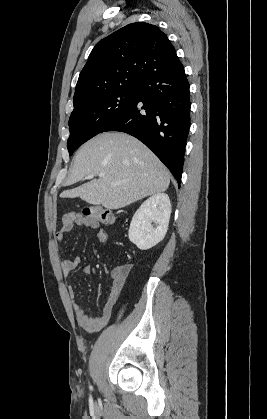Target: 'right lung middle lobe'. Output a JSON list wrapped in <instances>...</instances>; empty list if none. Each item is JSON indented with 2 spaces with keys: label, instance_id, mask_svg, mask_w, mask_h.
<instances>
[{
  "label": "right lung middle lobe",
  "instance_id": "obj_1",
  "mask_svg": "<svg viewBox=\"0 0 267 419\" xmlns=\"http://www.w3.org/2000/svg\"><path fill=\"white\" fill-rule=\"evenodd\" d=\"M138 89V86H130L109 90L75 103L69 119L70 136L67 143L69 155L120 118L135 99Z\"/></svg>",
  "mask_w": 267,
  "mask_h": 419
}]
</instances>
